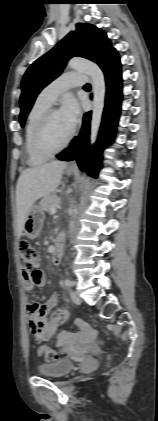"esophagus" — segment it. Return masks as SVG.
<instances>
[{"label": "esophagus", "instance_id": "1", "mask_svg": "<svg viewBox=\"0 0 158 421\" xmlns=\"http://www.w3.org/2000/svg\"><path fill=\"white\" fill-rule=\"evenodd\" d=\"M71 168H75L76 167V163H75V161H72L71 163H70V165H69Z\"/></svg>", "mask_w": 158, "mask_h": 421}]
</instances>
